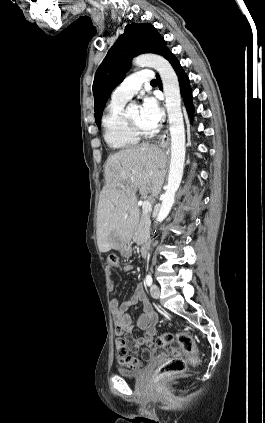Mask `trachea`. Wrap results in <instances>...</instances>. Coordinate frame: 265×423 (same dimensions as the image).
Segmentation results:
<instances>
[{"instance_id":"obj_1","label":"trachea","mask_w":265,"mask_h":423,"mask_svg":"<svg viewBox=\"0 0 265 423\" xmlns=\"http://www.w3.org/2000/svg\"><path fill=\"white\" fill-rule=\"evenodd\" d=\"M151 84H157V80L153 79V80L151 81Z\"/></svg>"}]
</instances>
